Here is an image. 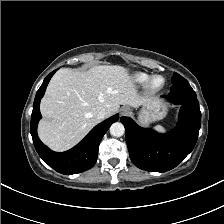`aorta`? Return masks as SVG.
<instances>
[{
  "label": "aorta",
  "instance_id": "aorta-1",
  "mask_svg": "<svg viewBox=\"0 0 224 224\" xmlns=\"http://www.w3.org/2000/svg\"><path fill=\"white\" fill-rule=\"evenodd\" d=\"M125 128L121 122H115L110 127V134L115 137H120L124 134Z\"/></svg>",
  "mask_w": 224,
  "mask_h": 224
}]
</instances>
